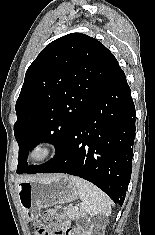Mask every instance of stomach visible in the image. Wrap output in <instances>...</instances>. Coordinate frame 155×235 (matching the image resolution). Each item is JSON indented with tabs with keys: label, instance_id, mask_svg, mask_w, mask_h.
I'll return each mask as SVG.
<instances>
[{
	"label": "stomach",
	"instance_id": "obj_1",
	"mask_svg": "<svg viewBox=\"0 0 155 235\" xmlns=\"http://www.w3.org/2000/svg\"><path fill=\"white\" fill-rule=\"evenodd\" d=\"M18 200L27 220L38 218L40 210L77 199L78 191L66 175H57L17 185Z\"/></svg>",
	"mask_w": 155,
	"mask_h": 235
}]
</instances>
